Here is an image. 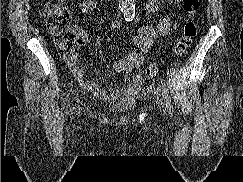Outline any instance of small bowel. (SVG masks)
<instances>
[{
    "instance_id": "small-bowel-1",
    "label": "small bowel",
    "mask_w": 243,
    "mask_h": 182,
    "mask_svg": "<svg viewBox=\"0 0 243 182\" xmlns=\"http://www.w3.org/2000/svg\"><path fill=\"white\" fill-rule=\"evenodd\" d=\"M174 4L180 3L182 0H171ZM159 0H148L146 5V13L149 14L155 11L158 7ZM98 7V0H85L80 5L82 13H89ZM122 26L121 21H114L111 24V29H118ZM177 28V24L170 18H163L158 22L157 29L150 25H142L137 35L133 38L135 49L128 51L124 57L115 60L111 63V68L114 72L123 74L124 88L121 91L109 92L101 88L97 83L86 79L83 70L78 66L74 58L67 60V66L71 71L75 80L81 88L96 96L98 99L106 102H115L119 97L135 96L142 87V78L136 74L132 78L129 77L131 71L140 68L144 63V56L149 53L160 36H166L172 33ZM89 38L80 34L78 38V48L88 45Z\"/></svg>"
}]
</instances>
